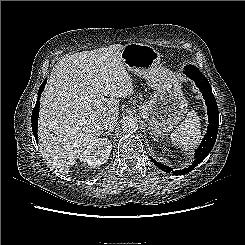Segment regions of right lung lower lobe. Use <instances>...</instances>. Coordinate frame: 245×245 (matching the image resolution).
<instances>
[{
    "mask_svg": "<svg viewBox=\"0 0 245 245\" xmlns=\"http://www.w3.org/2000/svg\"><path fill=\"white\" fill-rule=\"evenodd\" d=\"M46 85V80L44 81V83L41 85L39 91H38V100L36 102V105L32 111V118H31V122H32V131L33 134L35 136L36 142L38 141V135H37V124H38V116H39V107H40V102H39V97L44 89Z\"/></svg>",
    "mask_w": 245,
    "mask_h": 245,
    "instance_id": "right-lung-lower-lobe-1",
    "label": "right lung lower lobe"
}]
</instances>
